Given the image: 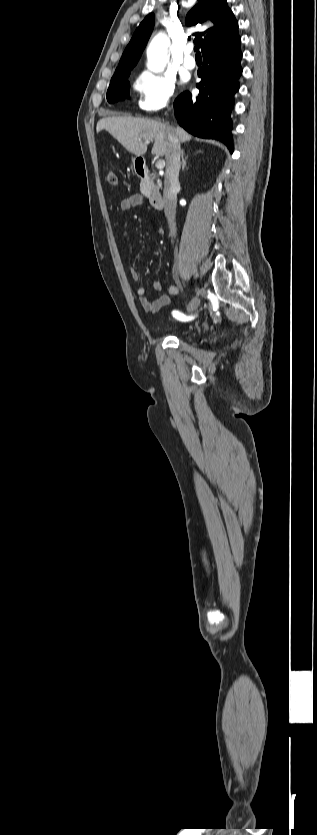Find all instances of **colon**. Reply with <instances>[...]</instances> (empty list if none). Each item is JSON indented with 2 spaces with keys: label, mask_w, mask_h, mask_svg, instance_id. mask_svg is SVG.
<instances>
[{
  "label": "colon",
  "mask_w": 317,
  "mask_h": 835,
  "mask_svg": "<svg viewBox=\"0 0 317 835\" xmlns=\"http://www.w3.org/2000/svg\"><path fill=\"white\" fill-rule=\"evenodd\" d=\"M107 181H108V183H109L110 185H112V186H116V185H117V182H118V178H117L116 173H115V172H113V171H110V172L107 174Z\"/></svg>",
  "instance_id": "5ec220e1"
}]
</instances>
